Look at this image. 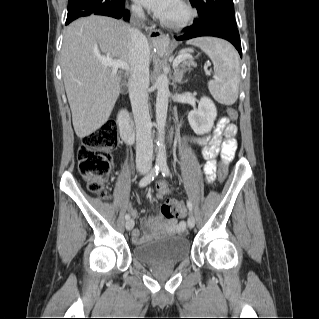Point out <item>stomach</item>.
Masks as SVG:
<instances>
[{
  "instance_id": "0dacf381",
  "label": "stomach",
  "mask_w": 319,
  "mask_h": 319,
  "mask_svg": "<svg viewBox=\"0 0 319 319\" xmlns=\"http://www.w3.org/2000/svg\"><path fill=\"white\" fill-rule=\"evenodd\" d=\"M168 45H169V42L167 40H164L161 44V49L162 50L168 49Z\"/></svg>"
}]
</instances>
